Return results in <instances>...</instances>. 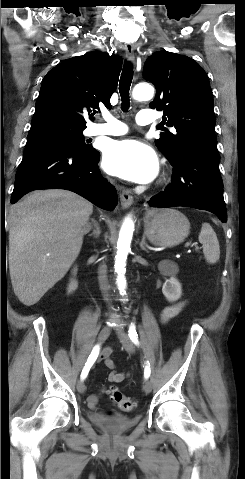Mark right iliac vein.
<instances>
[{"label":"right iliac vein","mask_w":245,"mask_h":479,"mask_svg":"<svg viewBox=\"0 0 245 479\" xmlns=\"http://www.w3.org/2000/svg\"><path fill=\"white\" fill-rule=\"evenodd\" d=\"M111 328L109 326H105L101 329L99 335H98V343H103L108 336L110 335ZM85 384L83 381H78L77 383V390L79 393H84L85 392Z\"/></svg>","instance_id":"obj_1"}]
</instances>
